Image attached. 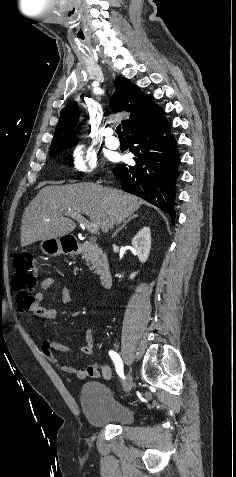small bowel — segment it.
Here are the masks:
<instances>
[{
    "instance_id": "c3829d8e",
    "label": "small bowel",
    "mask_w": 236,
    "mask_h": 477,
    "mask_svg": "<svg viewBox=\"0 0 236 477\" xmlns=\"http://www.w3.org/2000/svg\"><path fill=\"white\" fill-rule=\"evenodd\" d=\"M56 284L57 281L54 278L47 277L43 279L40 283L39 290L34 295H31V301L25 306H19V309L22 312L32 313L33 315L42 319H54L58 313L57 306L46 308L42 306V301L44 299L45 292ZM59 289L60 299L58 301V304H70L72 302L70 290L66 287H59ZM84 340L85 343L80 347V352L84 355H92L94 353V336L92 329L89 327L84 329ZM40 347L44 356L49 361L54 363H57V358L54 354V351H59L62 353L70 352V350L65 345L48 337L42 338ZM60 367L62 371L69 375H72L77 379L102 377L105 380H109L112 376L111 370L108 366L98 363L90 364L85 369H76L66 365H61Z\"/></svg>"
}]
</instances>
